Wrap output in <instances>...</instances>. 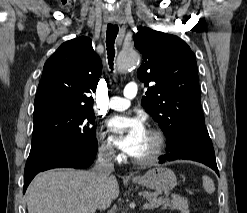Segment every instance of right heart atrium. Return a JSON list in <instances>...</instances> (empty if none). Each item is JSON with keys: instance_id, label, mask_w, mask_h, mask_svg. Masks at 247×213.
Here are the masks:
<instances>
[{"instance_id": "d8ad5b80", "label": "right heart atrium", "mask_w": 247, "mask_h": 213, "mask_svg": "<svg viewBox=\"0 0 247 213\" xmlns=\"http://www.w3.org/2000/svg\"><path fill=\"white\" fill-rule=\"evenodd\" d=\"M99 154L106 159H115L117 154L111 139L106 135L105 132L99 134Z\"/></svg>"}]
</instances>
